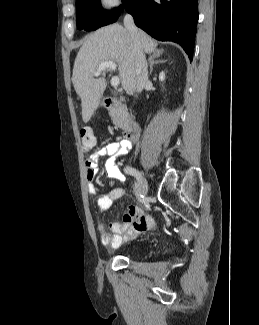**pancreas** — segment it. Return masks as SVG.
I'll list each match as a JSON object with an SVG mask.
<instances>
[{"mask_svg":"<svg viewBox=\"0 0 259 325\" xmlns=\"http://www.w3.org/2000/svg\"><path fill=\"white\" fill-rule=\"evenodd\" d=\"M109 115L111 116V120L114 125L119 127L120 129H126L127 127V116L125 113V108L119 103H114L109 111Z\"/></svg>","mask_w":259,"mask_h":325,"instance_id":"pancreas-1","label":"pancreas"}]
</instances>
